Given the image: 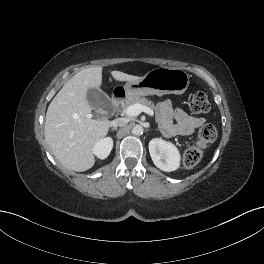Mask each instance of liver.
<instances>
[{
  "mask_svg": "<svg viewBox=\"0 0 264 264\" xmlns=\"http://www.w3.org/2000/svg\"><path fill=\"white\" fill-rule=\"evenodd\" d=\"M117 81H136L141 77L112 71ZM102 67L81 70L60 89L48 106L44 136L57 160L66 168L82 172L93 167L94 145L109 130L110 121L92 119L87 100L90 88L100 89Z\"/></svg>",
  "mask_w": 264,
  "mask_h": 264,
  "instance_id": "6515ba94",
  "label": "liver"
}]
</instances>
